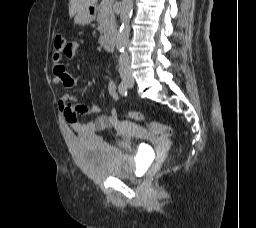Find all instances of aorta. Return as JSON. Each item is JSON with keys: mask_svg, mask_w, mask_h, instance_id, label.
I'll return each mask as SVG.
<instances>
[{"mask_svg": "<svg viewBox=\"0 0 256 228\" xmlns=\"http://www.w3.org/2000/svg\"><path fill=\"white\" fill-rule=\"evenodd\" d=\"M134 0H122L120 6L121 27L116 39V48L122 52L127 45L130 33V17L133 11Z\"/></svg>", "mask_w": 256, "mask_h": 228, "instance_id": "762f6f07", "label": "aorta"}]
</instances>
